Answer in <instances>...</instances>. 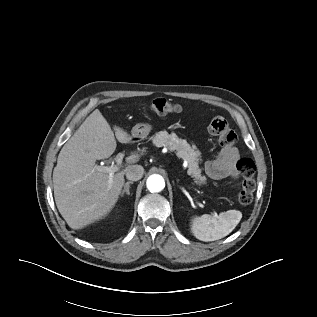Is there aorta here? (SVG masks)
Returning <instances> with one entry per match:
<instances>
[{
    "mask_svg": "<svg viewBox=\"0 0 317 317\" xmlns=\"http://www.w3.org/2000/svg\"><path fill=\"white\" fill-rule=\"evenodd\" d=\"M146 185L150 192L157 193L165 188V181L161 175L153 174L148 177Z\"/></svg>",
    "mask_w": 317,
    "mask_h": 317,
    "instance_id": "762f6f07",
    "label": "aorta"
}]
</instances>
